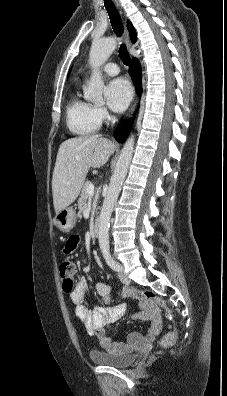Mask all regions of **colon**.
<instances>
[{
  "mask_svg": "<svg viewBox=\"0 0 227 396\" xmlns=\"http://www.w3.org/2000/svg\"><path fill=\"white\" fill-rule=\"evenodd\" d=\"M75 272H76L75 264L72 261L65 259L59 263L61 285L66 293L72 292L75 288ZM131 297L135 299L148 300L154 306L162 308L165 312L166 317L173 321L172 310L170 309L167 302L159 295L150 291H146L138 294H132ZM177 336H178L177 328L174 326L172 330L167 332L161 338L160 345L163 348L172 347L176 342Z\"/></svg>",
  "mask_w": 227,
  "mask_h": 396,
  "instance_id": "obj_1",
  "label": "colon"
}]
</instances>
